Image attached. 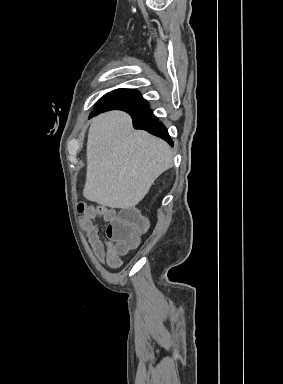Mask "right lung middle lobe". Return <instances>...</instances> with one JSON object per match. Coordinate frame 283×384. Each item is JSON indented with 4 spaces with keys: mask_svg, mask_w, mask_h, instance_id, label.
Returning a JSON list of instances; mask_svg holds the SVG:
<instances>
[{
    "mask_svg": "<svg viewBox=\"0 0 283 384\" xmlns=\"http://www.w3.org/2000/svg\"><path fill=\"white\" fill-rule=\"evenodd\" d=\"M116 107L145 110L147 102L138 91L131 89H117L104 95L95 105L97 110H106Z\"/></svg>",
    "mask_w": 283,
    "mask_h": 384,
    "instance_id": "right-lung-middle-lobe-1",
    "label": "right lung middle lobe"
}]
</instances>
